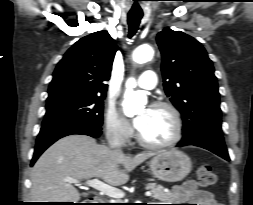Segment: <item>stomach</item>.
<instances>
[{
    "instance_id": "1",
    "label": "stomach",
    "mask_w": 253,
    "mask_h": 205,
    "mask_svg": "<svg viewBox=\"0 0 253 205\" xmlns=\"http://www.w3.org/2000/svg\"><path fill=\"white\" fill-rule=\"evenodd\" d=\"M153 175L163 181L176 182L185 178L192 169L191 159L179 150L158 153L149 162Z\"/></svg>"
}]
</instances>
